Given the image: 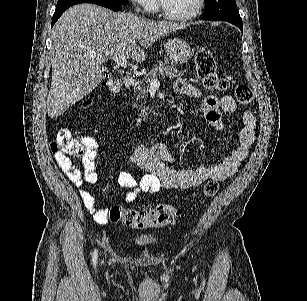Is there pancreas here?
<instances>
[{"mask_svg":"<svg viewBox=\"0 0 307 301\" xmlns=\"http://www.w3.org/2000/svg\"><path fill=\"white\" fill-rule=\"evenodd\" d=\"M183 70H178L175 66H172L168 60H164V62H159V64H154L151 70H148L147 74L140 78V80H136L135 82V92H137V100H145L147 96V92L149 90V84L151 82V78H163V76H169V78H176V76H182ZM134 106H139L140 116H145L147 110L148 112H153V108L150 106H143V102H136Z\"/></svg>","mask_w":307,"mask_h":301,"instance_id":"cf45deb5","label":"pancreas"}]
</instances>
